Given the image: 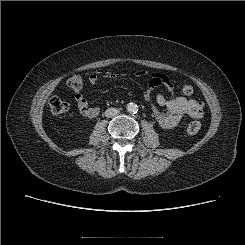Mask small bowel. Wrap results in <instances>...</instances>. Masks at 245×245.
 I'll list each match as a JSON object with an SVG mask.
<instances>
[{"mask_svg":"<svg viewBox=\"0 0 245 245\" xmlns=\"http://www.w3.org/2000/svg\"><path fill=\"white\" fill-rule=\"evenodd\" d=\"M137 77L149 76V81L144 89V98L150 104L154 117L158 124L164 129H172L176 127L184 116L200 119L204 114L203 102L195 99H187L182 96L175 95V88L169 78L162 73H149L144 70L135 73ZM99 77L92 73L88 77L90 85H95ZM163 87L171 94L170 97L164 95L163 92L157 91L158 87ZM155 100V103L153 102ZM80 113L87 118H95L99 114L97 107L89 105L86 98L78 93L75 96ZM164 110L158 109V107Z\"/></svg>","mask_w":245,"mask_h":245,"instance_id":"c3829d8e","label":"small bowel"}]
</instances>
